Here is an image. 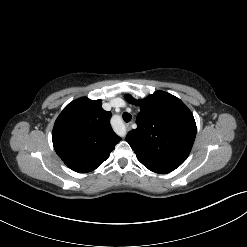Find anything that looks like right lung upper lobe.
Returning a JSON list of instances; mask_svg holds the SVG:
<instances>
[{
	"instance_id": "obj_1",
	"label": "right lung upper lobe",
	"mask_w": 247,
	"mask_h": 247,
	"mask_svg": "<svg viewBox=\"0 0 247 247\" xmlns=\"http://www.w3.org/2000/svg\"><path fill=\"white\" fill-rule=\"evenodd\" d=\"M111 113L101 100L79 98L65 107L55 121L52 140L56 153L73 171L95 170L121 140L110 125Z\"/></svg>"
}]
</instances>
